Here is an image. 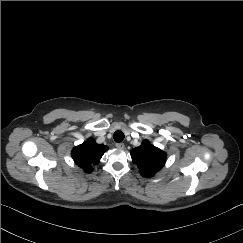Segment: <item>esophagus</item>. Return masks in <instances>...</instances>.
Returning <instances> with one entry per match:
<instances>
[{
    "mask_svg": "<svg viewBox=\"0 0 243 243\" xmlns=\"http://www.w3.org/2000/svg\"><path fill=\"white\" fill-rule=\"evenodd\" d=\"M115 146L119 149H124L125 147L124 143H116Z\"/></svg>",
    "mask_w": 243,
    "mask_h": 243,
    "instance_id": "34e87169",
    "label": "esophagus"
}]
</instances>
